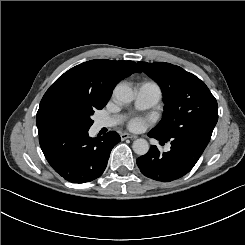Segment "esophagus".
<instances>
[{"mask_svg": "<svg viewBox=\"0 0 245 245\" xmlns=\"http://www.w3.org/2000/svg\"><path fill=\"white\" fill-rule=\"evenodd\" d=\"M120 138H121V140H125V139H128V138H136V136L133 135V134H130V133H122L120 135Z\"/></svg>", "mask_w": 245, "mask_h": 245, "instance_id": "obj_1", "label": "esophagus"}]
</instances>
